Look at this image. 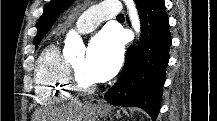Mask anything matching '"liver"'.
Returning <instances> with one entry per match:
<instances>
[{
    "instance_id": "obj_1",
    "label": "liver",
    "mask_w": 217,
    "mask_h": 121,
    "mask_svg": "<svg viewBox=\"0 0 217 121\" xmlns=\"http://www.w3.org/2000/svg\"><path fill=\"white\" fill-rule=\"evenodd\" d=\"M96 107L94 105H84L80 102L70 104L50 111L42 112V121H95Z\"/></svg>"
}]
</instances>
